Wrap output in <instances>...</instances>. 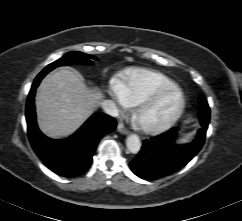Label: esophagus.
I'll return each mask as SVG.
<instances>
[{"label":"esophagus","instance_id":"1","mask_svg":"<svg viewBox=\"0 0 242 221\" xmlns=\"http://www.w3.org/2000/svg\"><path fill=\"white\" fill-rule=\"evenodd\" d=\"M117 130L124 135H127L129 133V130L124 127L122 123H119L117 126Z\"/></svg>","mask_w":242,"mask_h":221}]
</instances>
